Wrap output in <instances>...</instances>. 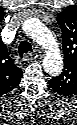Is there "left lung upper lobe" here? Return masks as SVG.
Segmentation results:
<instances>
[{
  "mask_svg": "<svg viewBox=\"0 0 77 125\" xmlns=\"http://www.w3.org/2000/svg\"><path fill=\"white\" fill-rule=\"evenodd\" d=\"M77 16L75 8L69 6L66 10L58 15V22L62 30L63 50H64V70L60 76L53 77V82H60L57 84L61 86L63 79H66L67 73L70 71L71 61H75L77 49ZM71 73V72H69ZM61 90V88H60Z\"/></svg>",
  "mask_w": 77,
  "mask_h": 125,
  "instance_id": "left-lung-upper-lobe-1",
  "label": "left lung upper lobe"
}]
</instances>
